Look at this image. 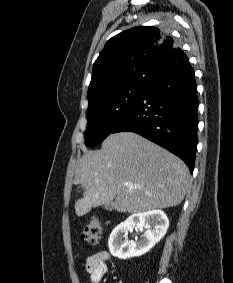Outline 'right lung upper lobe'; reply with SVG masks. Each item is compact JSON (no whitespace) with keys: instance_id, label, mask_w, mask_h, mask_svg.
<instances>
[{"instance_id":"cb5924a9","label":"right lung upper lobe","mask_w":233,"mask_h":283,"mask_svg":"<svg viewBox=\"0 0 233 283\" xmlns=\"http://www.w3.org/2000/svg\"><path fill=\"white\" fill-rule=\"evenodd\" d=\"M187 56L172 37L153 26L123 31L107 41L93 65L89 104L131 84L149 85Z\"/></svg>"}]
</instances>
